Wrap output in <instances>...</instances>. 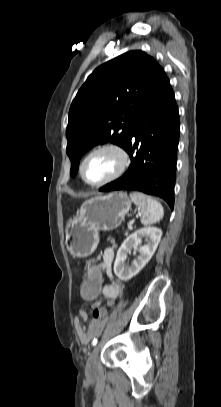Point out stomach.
Segmentation results:
<instances>
[{"mask_svg":"<svg viewBox=\"0 0 221 407\" xmlns=\"http://www.w3.org/2000/svg\"><path fill=\"white\" fill-rule=\"evenodd\" d=\"M130 208L131 201L125 192H112L86 200L65 230V242L71 255H91L99 243V231L119 227Z\"/></svg>","mask_w":221,"mask_h":407,"instance_id":"obj_1","label":"stomach"}]
</instances>
